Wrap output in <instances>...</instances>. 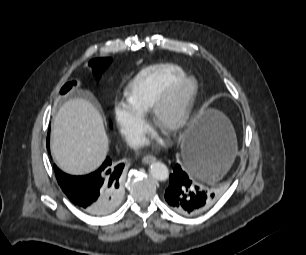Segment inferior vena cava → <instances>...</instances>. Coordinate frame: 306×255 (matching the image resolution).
Returning a JSON list of instances; mask_svg holds the SVG:
<instances>
[{
    "label": "inferior vena cava",
    "mask_w": 306,
    "mask_h": 255,
    "mask_svg": "<svg viewBox=\"0 0 306 255\" xmlns=\"http://www.w3.org/2000/svg\"><path fill=\"white\" fill-rule=\"evenodd\" d=\"M127 141L133 148H140L148 143L146 137L142 134H131Z\"/></svg>",
    "instance_id": "obj_1"
}]
</instances>
